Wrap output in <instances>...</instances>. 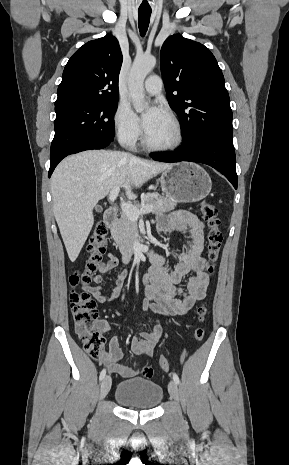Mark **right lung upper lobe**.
Here are the masks:
<instances>
[{
    "label": "right lung upper lobe",
    "mask_w": 289,
    "mask_h": 465,
    "mask_svg": "<svg viewBox=\"0 0 289 465\" xmlns=\"http://www.w3.org/2000/svg\"><path fill=\"white\" fill-rule=\"evenodd\" d=\"M122 60L119 43L112 35L84 44L64 68L55 106L118 99Z\"/></svg>",
    "instance_id": "1"
}]
</instances>
